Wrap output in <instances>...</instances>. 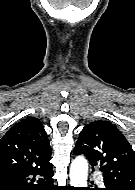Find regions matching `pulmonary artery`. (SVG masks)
<instances>
[{"label":"pulmonary artery","mask_w":135,"mask_h":190,"mask_svg":"<svg viewBox=\"0 0 135 190\" xmlns=\"http://www.w3.org/2000/svg\"><path fill=\"white\" fill-rule=\"evenodd\" d=\"M97 181H98V183H99L100 185L103 184V180H102V178H101L100 176H97Z\"/></svg>","instance_id":"pulmonary-artery-1"}]
</instances>
